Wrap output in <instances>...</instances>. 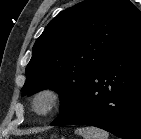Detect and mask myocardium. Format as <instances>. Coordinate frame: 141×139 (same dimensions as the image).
Listing matches in <instances>:
<instances>
[{"mask_svg":"<svg viewBox=\"0 0 141 139\" xmlns=\"http://www.w3.org/2000/svg\"><path fill=\"white\" fill-rule=\"evenodd\" d=\"M63 97V92L59 87L41 86L30 97V109L36 116L46 117L61 105Z\"/></svg>","mask_w":141,"mask_h":139,"instance_id":"obj_1","label":"myocardium"}]
</instances>
